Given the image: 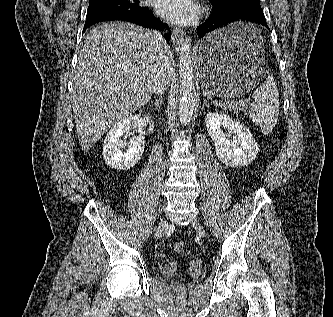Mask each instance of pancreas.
Returning a JSON list of instances; mask_svg holds the SVG:
<instances>
[{"mask_svg":"<svg viewBox=\"0 0 333 317\" xmlns=\"http://www.w3.org/2000/svg\"><path fill=\"white\" fill-rule=\"evenodd\" d=\"M244 105L243 104H235V103H230L228 101L222 102L220 104V107L224 110H234L237 111L241 109Z\"/></svg>","mask_w":333,"mask_h":317,"instance_id":"cf45deb5","label":"pancreas"}]
</instances>
